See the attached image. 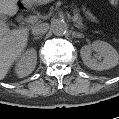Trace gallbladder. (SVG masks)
<instances>
[{"label": "gallbladder", "mask_w": 119, "mask_h": 119, "mask_svg": "<svg viewBox=\"0 0 119 119\" xmlns=\"http://www.w3.org/2000/svg\"><path fill=\"white\" fill-rule=\"evenodd\" d=\"M0 22H2L3 24H7V19L3 16H0Z\"/></svg>", "instance_id": "bac80fb5"}]
</instances>
